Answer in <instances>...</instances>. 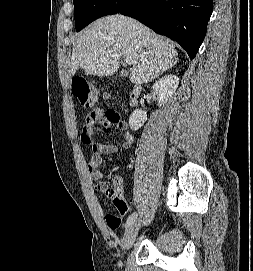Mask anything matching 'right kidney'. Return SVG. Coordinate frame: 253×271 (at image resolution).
<instances>
[{
    "label": "right kidney",
    "mask_w": 253,
    "mask_h": 271,
    "mask_svg": "<svg viewBox=\"0 0 253 271\" xmlns=\"http://www.w3.org/2000/svg\"><path fill=\"white\" fill-rule=\"evenodd\" d=\"M179 84V78L175 75H166L160 78L153 86V89L158 97V104L161 107L175 93ZM146 113L141 109H136L132 112L129 118L130 128L134 131L142 127L146 122Z\"/></svg>",
    "instance_id": "1"
}]
</instances>
